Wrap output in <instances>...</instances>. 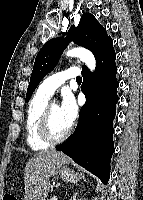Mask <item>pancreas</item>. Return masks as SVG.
I'll return each instance as SVG.
<instances>
[{"label": "pancreas", "mask_w": 143, "mask_h": 200, "mask_svg": "<svg viewBox=\"0 0 143 200\" xmlns=\"http://www.w3.org/2000/svg\"><path fill=\"white\" fill-rule=\"evenodd\" d=\"M50 200H57L56 198H52V199H50Z\"/></svg>", "instance_id": "obj_1"}]
</instances>
